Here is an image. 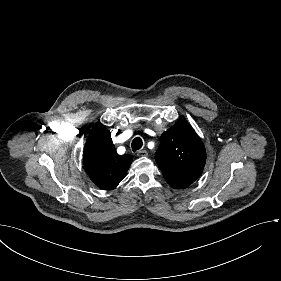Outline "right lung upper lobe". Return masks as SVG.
<instances>
[{
	"label": "right lung upper lobe",
	"instance_id": "obj_1",
	"mask_svg": "<svg viewBox=\"0 0 281 281\" xmlns=\"http://www.w3.org/2000/svg\"><path fill=\"white\" fill-rule=\"evenodd\" d=\"M84 167L91 180L101 189L112 190L125 177L132 157L119 156L111 133L98 123L90 131L83 153Z\"/></svg>",
	"mask_w": 281,
	"mask_h": 281
}]
</instances>
